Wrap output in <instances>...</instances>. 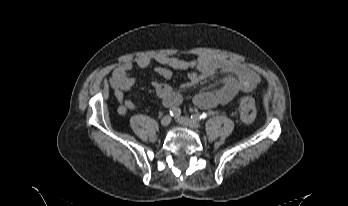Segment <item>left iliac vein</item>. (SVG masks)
<instances>
[{
  "instance_id": "left-iliac-vein-1",
  "label": "left iliac vein",
  "mask_w": 348,
  "mask_h": 206,
  "mask_svg": "<svg viewBox=\"0 0 348 206\" xmlns=\"http://www.w3.org/2000/svg\"><path fill=\"white\" fill-rule=\"evenodd\" d=\"M176 121L181 124L182 126L191 128V129H198L200 128V123L197 121H193L192 119L188 117H179L176 119Z\"/></svg>"
}]
</instances>
